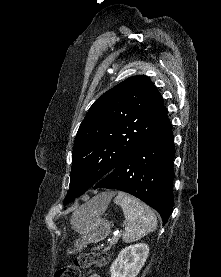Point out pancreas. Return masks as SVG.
<instances>
[{
  "mask_svg": "<svg viewBox=\"0 0 221 277\" xmlns=\"http://www.w3.org/2000/svg\"><path fill=\"white\" fill-rule=\"evenodd\" d=\"M109 249H110V248H108V247L105 248V249H104V253L107 254V251H108Z\"/></svg>",
  "mask_w": 221,
  "mask_h": 277,
  "instance_id": "cf45deb5",
  "label": "pancreas"
}]
</instances>
